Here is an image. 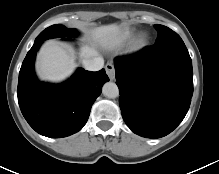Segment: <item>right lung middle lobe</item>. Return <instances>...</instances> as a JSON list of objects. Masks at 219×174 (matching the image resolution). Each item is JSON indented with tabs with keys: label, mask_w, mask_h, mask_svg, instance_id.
<instances>
[{
	"label": "right lung middle lobe",
	"mask_w": 219,
	"mask_h": 174,
	"mask_svg": "<svg viewBox=\"0 0 219 174\" xmlns=\"http://www.w3.org/2000/svg\"><path fill=\"white\" fill-rule=\"evenodd\" d=\"M77 36V32L75 29H68L63 25L56 24L52 25L45 30H43L35 39L34 43H42L46 39L50 38H73Z\"/></svg>",
	"instance_id": "right-lung-middle-lobe-1"
}]
</instances>
